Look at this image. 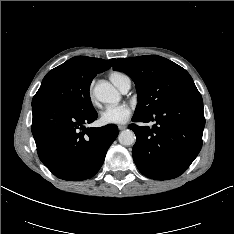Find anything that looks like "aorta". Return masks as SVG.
Returning <instances> with one entry per match:
<instances>
[{
  "mask_svg": "<svg viewBox=\"0 0 234 234\" xmlns=\"http://www.w3.org/2000/svg\"><path fill=\"white\" fill-rule=\"evenodd\" d=\"M95 97L102 103H115L119 100V94L109 82H99L94 87ZM119 143L129 146L135 142V134L132 130H124L118 136Z\"/></svg>",
  "mask_w": 234,
  "mask_h": 234,
  "instance_id": "aorta-1",
  "label": "aorta"
}]
</instances>
